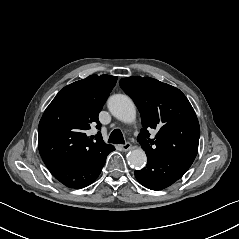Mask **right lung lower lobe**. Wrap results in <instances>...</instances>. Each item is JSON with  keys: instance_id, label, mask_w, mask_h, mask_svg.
<instances>
[{"instance_id": "obj_1", "label": "right lung lower lobe", "mask_w": 239, "mask_h": 239, "mask_svg": "<svg viewBox=\"0 0 239 239\" xmlns=\"http://www.w3.org/2000/svg\"><path fill=\"white\" fill-rule=\"evenodd\" d=\"M115 148L110 145L93 157L80 161L46 164L51 174L70 188H83L90 185L101 173L107 155Z\"/></svg>"}]
</instances>
